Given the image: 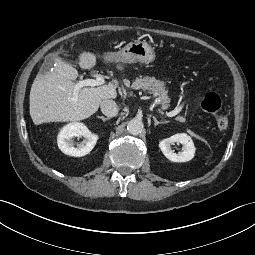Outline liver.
Returning a JSON list of instances; mask_svg holds the SVG:
<instances>
[{"mask_svg":"<svg viewBox=\"0 0 255 255\" xmlns=\"http://www.w3.org/2000/svg\"><path fill=\"white\" fill-rule=\"evenodd\" d=\"M104 62H109L104 56ZM79 66L90 70L96 65V56L82 52ZM117 69L124 68L118 64ZM78 72L67 62L56 57L46 73H39L30 90V116L35 125L49 122H76L93 115L103 100L117 97L116 84L82 87L76 90L74 81Z\"/></svg>","mask_w":255,"mask_h":255,"instance_id":"6515ba94","label":"liver"}]
</instances>
